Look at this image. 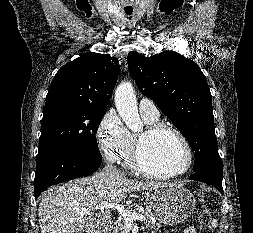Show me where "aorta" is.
Listing matches in <instances>:
<instances>
[{
	"mask_svg": "<svg viewBox=\"0 0 253 233\" xmlns=\"http://www.w3.org/2000/svg\"><path fill=\"white\" fill-rule=\"evenodd\" d=\"M115 106L120 117L130 130L137 132L142 129L143 123L138 113L136 95L130 82H122L116 88Z\"/></svg>",
	"mask_w": 253,
	"mask_h": 233,
	"instance_id": "762f6f07",
	"label": "aorta"
}]
</instances>
